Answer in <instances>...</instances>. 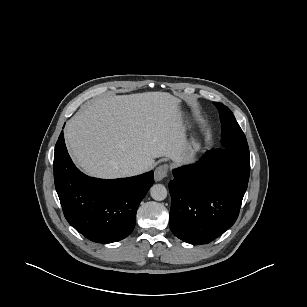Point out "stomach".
Masks as SVG:
<instances>
[{
	"label": "stomach",
	"mask_w": 307,
	"mask_h": 307,
	"mask_svg": "<svg viewBox=\"0 0 307 307\" xmlns=\"http://www.w3.org/2000/svg\"><path fill=\"white\" fill-rule=\"evenodd\" d=\"M186 127V124H185ZM200 146L196 139L191 136L187 140V148L184 154V161H190L194 158L195 154L198 152Z\"/></svg>",
	"instance_id": "0dacf381"
}]
</instances>
